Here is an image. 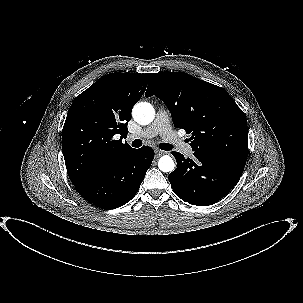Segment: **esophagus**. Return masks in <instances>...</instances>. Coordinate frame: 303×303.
Instances as JSON below:
<instances>
[{
	"label": "esophagus",
	"mask_w": 303,
	"mask_h": 303,
	"mask_svg": "<svg viewBox=\"0 0 303 303\" xmlns=\"http://www.w3.org/2000/svg\"><path fill=\"white\" fill-rule=\"evenodd\" d=\"M164 154H165V152L162 151V150H159V149H156V150H155V157H156V158H159L160 156H162V155H164Z\"/></svg>",
	"instance_id": "obj_1"
}]
</instances>
